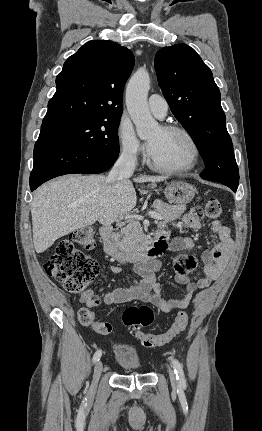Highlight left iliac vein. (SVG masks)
I'll return each mask as SVG.
<instances>
[{"label": "left iliac vein", "mask_w": 262, "mask_h": 431, "mask_svg": "<svg viewBox=\"0 0 262 431\" xmlns=\"http://www.w3.org/2000/svg\"><path fill=\"white\" fill-rule=\"evenodd\" d=\"M169 375H170V380H171L172 385L174 387H176L177 386V379H176L175 373L173 372L172 369L169 370Z\"/></svg>", "instance_id": "1"}]
</instances>
